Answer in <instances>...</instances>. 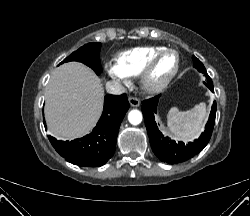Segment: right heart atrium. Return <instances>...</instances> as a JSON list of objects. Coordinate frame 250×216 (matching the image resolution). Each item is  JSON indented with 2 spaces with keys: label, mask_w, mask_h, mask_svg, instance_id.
Segmentation results:
<instances>
[{
  "label": "right heart atrium",
  "mask_w": 250,
  "mask_h": 216,
  "mask_svg": "<svg viewBox=\"0 0 250 216\" xmlns=\"http://www.w3.org/2000/svg\"><path fill=\"white\" fill-rule=\"evenodd\" d=\"M108 72L115 79L122 82H127V75L119 68L117 64H110L108 66Z\"/></svg>",
  "instance_id": "obj_1"
}]
</instances>
